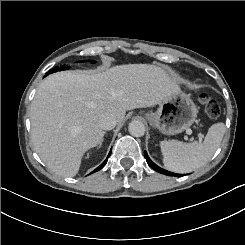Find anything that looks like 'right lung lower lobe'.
Listing matches in <instances>:
<instances>
[{"label": "right lung lower lobe", "instance_id": "1", "mask_svg": "<svg viewBox=\"0 0 245 245\" xmlns=\"http://www.w3.org/2000/svg\"><path fill=\"white\" fill-rule=\"evenodd\" d=\"M110 154H111V151H110L108 157L110 156ZM108 157H107L106 160H105L99 167H97L93 172H96V171L100 170V169L106 164V162H107V160H108ZM93 172H92V173H93Z\"/></svg>", "mask_w": 245, "mask_h": 245}]
</instances>
